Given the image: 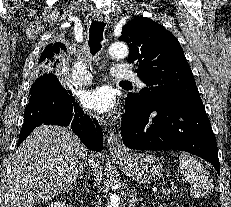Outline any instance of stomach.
Here are the masks:
<instances>
[{
  "mask_svg": "<svg viewBox=\"0 0 231 207\" xmlns=\"http://www.w3.org/2000/svg\"><path fill=\"white\" fill-rule=\"evenodd\" d=\"M122 171L139 183H151L161 177L162 163L149 153H125L117 156Z\"/></svg>",
  "mask_w": 231,
  "mask_h": 207,
  "instance_id": "stomach-1",
  "label": "stomach"
}]
</instances>
